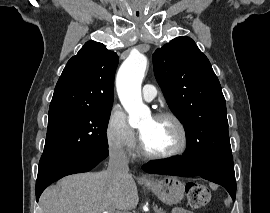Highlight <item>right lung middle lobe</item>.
Returning a JSON list of instances; mask_svg holds the SVG:
<instances>
[{
  "instance_id": "right-lung-middle-lobe-1",
  "label": "right lung middle lobe",
  "mask_w": 270,
  "mask_h": 213,
  "mask_svg": "<svg viewBox=\"0 0 270 213\" xmlns=\"http://www.w3.org/2000/svg\"><path fill=\"white\" fill-rule=\"evenodd\" d=\"M110 113L111 108L49 110L48 130L41 159L108 149L106 130Z\"/></svg>"
}]
</instances>
